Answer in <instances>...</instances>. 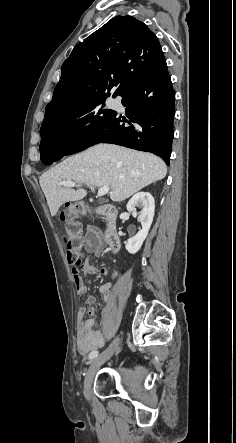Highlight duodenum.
Masks as SVG:
<instances>
[{
  "label": "duodenum",
  "instance_id": "1",
  "mask_svg": "<svg viewBox=\"0 0 236 443\" xmlns=\"http://www.w3.org/2000/svg\"><path fill=\"white\" fill-rule=\"evenodd\" d=\"M100 213L104 217L112 220V219H114L117 216L118 211L114 207H104V208H102L100 210ZM105 240H106L109 248L112 251H117L118 250L119 245H120V238H119V235L114 230V225L113 224L110 226V228L106 232Z\"/></svg>",
  "mask_w": 236,
  "mask_h": 443
}]
</instances>
